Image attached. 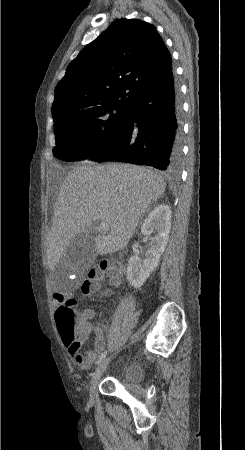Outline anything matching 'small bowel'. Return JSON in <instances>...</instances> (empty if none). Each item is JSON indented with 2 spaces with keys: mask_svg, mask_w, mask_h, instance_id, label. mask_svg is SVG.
<instances>
[{
  "mask_svg": "<svg viewBox=\"0 0 245 450\" xmlns=\"http://www.w3.org/2000/svg\"><path fill=\"white\" fill-rule=\"evenodd\" d=\"M99 290V286L95 285L89 292H95ZM104 297H110L112 295L111 290H106L102 292ZM95 313L92 310L84 311L80 316L79 320L84 321L88 325L89 332H93L96 336L94 342V350L88 351L85 355L80 353V348L82 343L86 338L79 337V344L76 345L74 343H66L64 342L65 347L68 350L69 357L71 360L81 368H88L91 363L96 359L97 355L101 353L105 348V338L104 331L105 328L103 325L94 323ZM78 356L82 358V361H78Z\"/></svg>",
  "mask_w": 245,
  "mask_h": 450,
  "instance_id": "obj_1",
  "label": "small bowel"
}]
</instances>
